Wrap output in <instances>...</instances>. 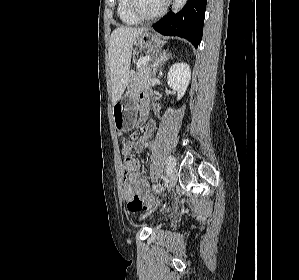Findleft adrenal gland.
Listing matches in <instances>:
<instances>
[{"mask_svg":"<svg viewBox=\"0 0 299 280\" xmlns=\"http://www.w3.org/2000/svg\"><path fill=\"white\" fill-rule=\"evenodd\" d=\"M170 58H172V55L168 53V50H164L156 54L154 58L153 74L156 75L158 69L162 67L165 64V62L168 61Z\"/></svg>","mask_w":299,"mask_h":280,"instance_id":"obj_1","label":"left adrenal gland"}]
</instances>
